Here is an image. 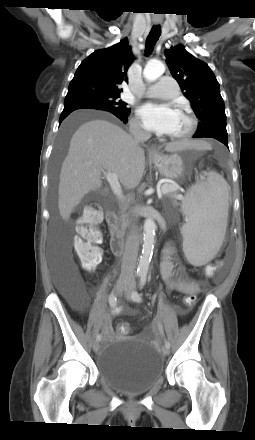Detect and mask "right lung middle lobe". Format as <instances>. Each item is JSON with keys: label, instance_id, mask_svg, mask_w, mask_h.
<instances>
[{"label": "right lung middle lobe", "instance_id": "1", "mask_svg": "<svg viewBox=\"0 0 255 440\" xmlns=\"http://www.w3.org/2000/svg\"><path fill=\"white\" fill-rule=\"evenodd\" d=\"M120 94H106V93H89L76 97H66L64 106L68 105H92L101 106L109 110L117 111L121 114L130 113V109L126 107V103L119 100ZM65 135L61 143L64 144Z\"/></svg>", "mask_w": 255, "mask_h": 440}]
</instances>
